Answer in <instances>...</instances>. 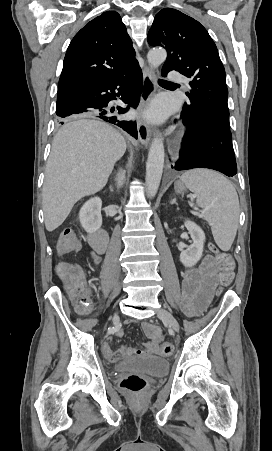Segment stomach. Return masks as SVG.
Segmentation results:
<instances>
[{
	"label": "stomach",
	"instance_id": "1",
	"mask_svg": "<svg viewBox=\"0 0 272 451\" xmlns=\"http://www.w3.org/2000/svg\"><path fill=\"white\" fill-rule=\"evenodd\" d=\"M174 190L176 194H184L186 192V188L182 182H175Z\"/></svg>",
	"mask_w": 272,
	"mask_h": 451
}]
</instances>
